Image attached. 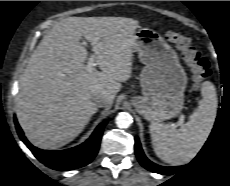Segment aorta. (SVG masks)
Here are the masks:
<instances>
[{
  "instance_id": "aorta-1",
  "label": "aorta",
  "mask_w": 230,
  "mask_h": 186,
  "mask_svg": "<svg viewBox=\"0 0 230 186\" xmlns=\"http://www.w3.org/2000/svg\"><path fill=\"white\" fill-rule=\"evenodd\" d=\"M133 121L131 115L127 112H121L116 116L115 123L119 128H128Z\"/></svg>"
}]
</instances>
